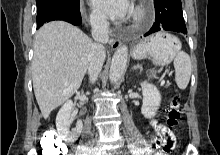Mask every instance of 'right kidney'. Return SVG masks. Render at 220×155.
I'll use <instances>...</instances> for the list:
<instances>
[{"label": "right kidney", "instance_id": "1", "mask_svg": "<svg viewBox=\"0 0 220 155\" xmlns=\"http://www.w3.org/2000/svg\"><path fill=\"white\" fill-rule=\"evenodd\" d=\"M73 109V102L67 101L59 110L56 117V127L61 138L66 142H74L80 135L83 127L82 121H78L76 127L72 130L69 129V125L73 121L71 112Z\"/></svg>", "mask_w": 220, "mask_h": 155}]
</instances>
